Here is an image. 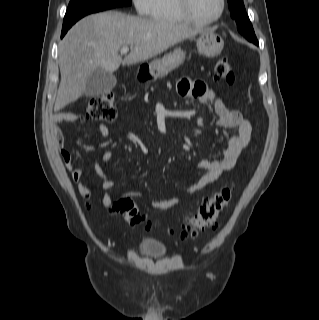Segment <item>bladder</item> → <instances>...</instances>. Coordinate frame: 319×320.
I'll return each instance as SVG.
<instances>
[{
  "instance_id": "obj_1",
  "label": "bladder",
  "mask_w": 319,
  "mask_h": 320,
  "mask_svg": "<svg viewBox=\"0 0 319 320\" xmlns=\"http://www.w3.org/2000/svg\"><path fill=\"white\" fill-rule=\"evenodd\" d=\"M167 246L161 242L150 238L141 239L138 245V253L145 257H160L167 252Z\"/></svg>"
}]
</instances>
